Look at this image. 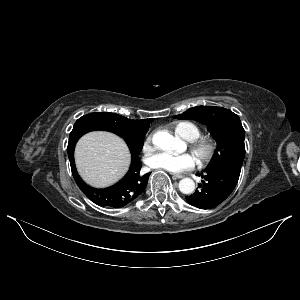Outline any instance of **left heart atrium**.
<instances>
[{
  "label": "left heart atrium",
  "instance_id": "obj_1",
  "mask_svg": "<svg viewBox=\"0 0 300 300\" xmlns=\"http://www.w3.org/2000/svg\"><path fill=\"white\" fill-rule=\"evenodd\" d=\"M147 164L153 169L180 173L193 169L196 165V157L189 153L176 155L168 152H159L149 156Z\"/></svg>",
  "mask_w": 300,
  "mask_h": 300
}]
</instances>
